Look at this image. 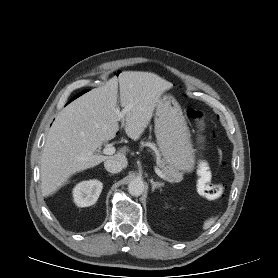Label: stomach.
I'll list each match as a JSON object with an SVG mask.
<instances>
[{
	"mask_svg": "<svg viewBox=\"0 0 278 278\" xmlns=\"http://www.w3.org/2000/svg\"><path fill=\"white\" fill-rule=\"evenodd\" d=\"M155 135L166 164L186 173L194 170L195 154L179 103L163 95L156 105Z\"/></svg>",
	"mask_w": 278,
	"mask_h": 278,
	"instance_id": "0dacf381",
	"label": "stomach"
}]
</instances>
